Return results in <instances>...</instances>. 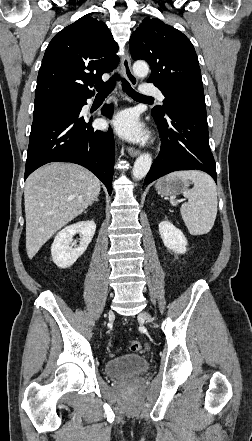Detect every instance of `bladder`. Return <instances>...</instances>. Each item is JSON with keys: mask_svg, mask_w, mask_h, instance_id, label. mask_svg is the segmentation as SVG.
Segmentation results:
<instances>
[{"mask_svg": "<svg viewBox=\"0 0 252 441\" xmlns=\"http://www.w3.org/2000/svg\"><path fill=\"white\" fill-rule=\"evenodd\" d=\"M149 368V361L138 354H129L109 360L105 363V372L114 378H126L145 373Z\"/></svg>", "mask_w": 252, "mask_h": 441, "instance_id": "obj_1", "label": "bladder"}]
</instances>
